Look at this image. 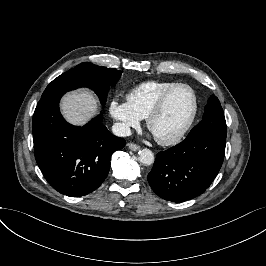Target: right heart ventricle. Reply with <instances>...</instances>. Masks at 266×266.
Returning <instances> with one entry per match:
<instances>
[{"label":"right heart ventricle","instance_id":"obj_1","mask_svg":"<svg viewBox=\"0 0 266 266\" xmlns=\"http://www.w3.org/2000/svg\"><path fill=\"white\" fill-rule=\"evenodd\" d=\"M176 81L153 80L139 84L128 95V101L141 119H145L159 97Z\"/></svg>","mask_w":266,"mask_h":266}]
</instances>
